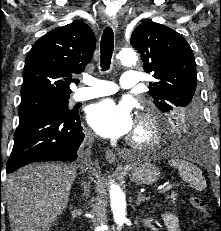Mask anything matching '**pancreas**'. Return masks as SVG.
<instances>
[{
	"instance_id": "pancreas-1",
	"label": "pancreas",
	"mask_w": 221,
	"mask_h": 231,
	"mask_svg": "<svg viewBox=\"0 0 221 231\" xmlns=\"http://www.w3.org/2000/svg\"><path fill=\"white\" fill-rule=\"evenodd\" d=\"M176 197H177V194L173 192L172 194L167 196V199L170 200L172 203H174L176 200Z\"/></svg>"
}]
</instances>
